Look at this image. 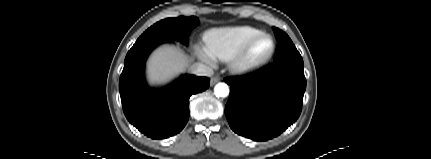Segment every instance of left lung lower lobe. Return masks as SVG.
I'll return each instance as SVG.
<instances>
[{
	"label": "left lung lower lobe",
	"instance_id": "1",
	"mask_svg": "<svg viewBox=\"0 0 431 159\" xmlns=\"http://www.w3.org/2000/svg\"><path fill=\"white\" fill-rule=\"evenodd\" d=\"M303 61L283 60L242 77L226 78L225 114L231 129L254 141L280 135L299 117L306 79Z\"/></svg>",
	"mask_w": 431,
	"mask_h": 159
}]
</instances>
